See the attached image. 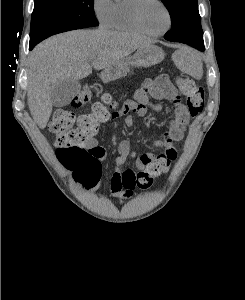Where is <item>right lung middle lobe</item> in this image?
<instances>
[{
  "label": "right lung middle lobe",
  "mask_w": 245,
  "mask_h": 300,
  "mask_svg": "<svg viewBox=\"0 0 245 300\" xmlns=\"http://www.w3.org/2000/svg\"><path fill=\"white\" fill-rule=\"evenodd\" d=\"M98 25L93 0H35L30 44L57 33Z\"/></svg>",
  "instance_id": "obj_1"
}]
</instances>
